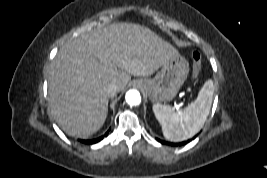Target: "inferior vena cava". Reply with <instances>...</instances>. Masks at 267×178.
Returning <instances> with one entry per match:
<instances>
[{"label": "inferior vena cava", "mask_w": 267, "mask_h": 178, "mask_svg": "<svg viewBox=\"0 0 267 178\" xmlns=\"http://www.w3.org/2000/svg\"><path fill=\"white\" fill-rule=\"evenodd\" d=\"M117 91V86L115 84H108L106 87V93L109 97L115 96Z\"/></svg>", "instance_id": "inferior-vena-cava-1"}]
</instances>
